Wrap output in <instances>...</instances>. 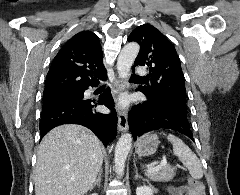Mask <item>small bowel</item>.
I'll return each mask as SVG.
<instances>
[{"label":"small bowel","mask_w":240,"mask_h":195,"mask_svg":"<svg viewBox=\"0 0 240 195\" xmlns=\"http://www.w3.org/2000/svg\"><path fill=\"white\" fill-rule=\"evenodd\" d=\"M166 192L168 195H205L204 186H170Z\"/></svg>","instance_id":"obj_1"}]
</instances>
